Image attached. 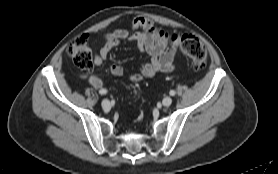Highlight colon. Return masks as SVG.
<instances>
[{"instance_id":"obj_1","label":"colon","mask_w":278,"mask_h":174,"mask_svg":"<svg viewBox=\"0 0 278 174\" xmlns=\"http://www.w3.org/2000/svg\"><path fill=\"white\" fill-rule=\"evenodd\" d=\"M158 41H169L177 46L191 61L194 69H202L206 65L207 51L202 42L190 34L168 33L159 30L155 34ZM67 53L74 64L82 69L88 70L92 66V51L88 45L87 37L82 35L76 37L67 49Z\"/></svg>"}]
</instances>
